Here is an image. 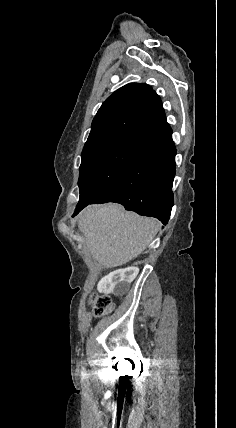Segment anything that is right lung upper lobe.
<instances>
[{
    "mask_svg": "<svg viewBox=\"0 0 236 428\" xmlns=\"http://www.w3.org/2000/svg\"><path fill=\"white\" fill-rule=\"evenodd\" d=\"M167 124L162 102L151 86L130 83L98 110L82 151L87 156L126 141H142Z\"/></svg>",
    "mask_w": 236,
    "mask_h": 428,
    "instance_id": "1",
    "label": "right lung upper lobe"
}]
</instances>
